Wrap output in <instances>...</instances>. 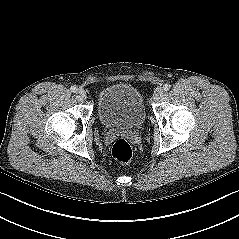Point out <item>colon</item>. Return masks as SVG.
<instances>
[{"instance_id":"1","label":"colon","mask_w":239,"mask_h":239,"mask_svg":"<svg viewBox=\"0 0 239 239\" xmlns=\"http://www.w3.org/2000/svg\"><path fill=\"white\" fill-rule=\"evenodd\" d=\"M111 152L116 160L123 163L129 162L133 154L130 143L124 138H119L114 142Z\"/></svg>"}]
</instances>
